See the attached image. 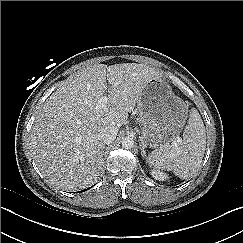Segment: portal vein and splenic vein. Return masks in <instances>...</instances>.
Wrapping results in <instances>:
<instances>
[{
  "instance_id": "1",
  "label": "portal vein and splenic vein",
  "mask_w": 243,
  "mask_h": 243,
  "mask_svg": "<svg viewBox=\"0 0 243 243\" xmlns=\"http://www.w3.org/2000/svg\"><path fill=\"white\" fill-rule=\"evenodd\" d=\"M107 103H108V97H107V96H103V97L99 100V102H98V104L96 105L95 109H96V110H100V109H102L103 107H105V106L107 105Z\"/></svg>"
}]
</instances>
